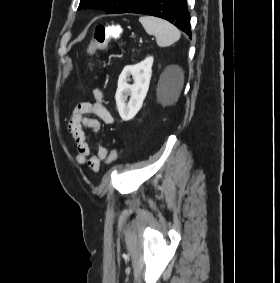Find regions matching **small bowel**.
I'll list each match as a JSON object with an SVG mask.
<instances>
[{
    "instance_id": "obj_1",
    "label": "small bowel",
    "mask_w": 280,
    "mask_h": 283,
    "mask_svg": "<svg viewBox=\"0 0 280 283\" xmlns=\"http://www.w3.org/2000/svg\"><path fill=\"white\" fill-rule=\"evenodd\" d=\"M94 97L96 99L94 103L81 102L75 106L67 123V132L76 144L77 163L87 164L92 171L97 172L100 169L101 162L108 160L111 153L106 147L100 146L97 153L92 154L84 130L97 132L100 129V122L112 124L113 117L103 102V93L100 89L94 91ZM89 114L96 118L87 117Z\"/></svg>"
}]
</instances>
